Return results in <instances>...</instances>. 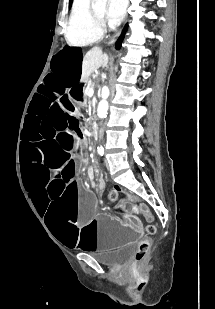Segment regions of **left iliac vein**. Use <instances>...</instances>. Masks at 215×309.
I'll return each instance as SVG.
<instances>
[{
  "mask_svg": "<svg viewBox=\"0 0 215 309\" xmlns=\"http://www.w3.org/2000/svg\"><path fill=\"white\" fill-rule=\"evenodd\" d=\"M106 166H107V167H109V165H108V161H106Z\"/></svg>",
  "mask_w": 215,
  "mask_h": 309,
  "instance_id": "left-iliac-vein-1",
  "label": "left iliac vein"
}]
</instances>
